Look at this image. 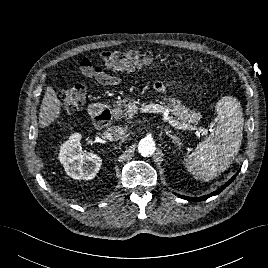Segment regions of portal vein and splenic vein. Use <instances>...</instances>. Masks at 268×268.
I'll return each instance as SVG.
<instances>
[{
	"label": "portal vein and splenic vein",
	"mask_w": 268,
	"mask_h": 268,
	"mask_svg": "<svg viewBox=\"0 0 268 268\" xmlns=\"http://www.w3.org/2000/svg\"><path fill=\"white\" fill-rule=\"evenodd\" d=\"M140 110L141 112H147V113H161L164 120H166L170 125L177 129L182 130H195V127L189 126L188 124H182L176 120H174L171 116H169L168 109L164 108L163 106L159 104L150 103L148 105H144L140 108H137L133 103L129 105V112H137ZM198 131L200 133H206L207 130L203 128H199Z\"/></svg>",
	"instance_id": "18ae733b"
}]
</instances>
